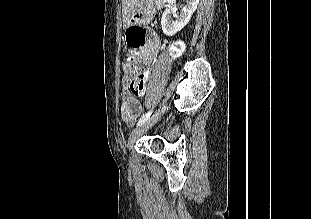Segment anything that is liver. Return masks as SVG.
<instances>
[{
    "instance_id": "6515ba94",
    "label": "liver",
    "mask_w": 311,
    "mask_h": 219,
    "mask_svg": "<svg viewBox=\"0 0 311 219\" xmlns=\"http://www.w3.org/2000/svg\"><path fill=\"white\" fill-rule=\"evenodd\" d=\"M137 0H122V14L123 20L128 21L131 14L137 7Z\"/></svg>"
}]
</instances>
